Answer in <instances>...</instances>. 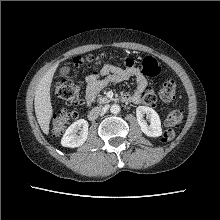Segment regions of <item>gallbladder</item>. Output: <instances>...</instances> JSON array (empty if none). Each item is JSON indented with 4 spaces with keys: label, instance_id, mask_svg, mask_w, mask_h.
<instances>
[{
    "label": "gallbladder",
    "instance_id": "gallbladder-1",
    "mask_svg": "<svg viewBox=\"0 0 220 220\" xmlns=\"http://www.w3.org/2000/svg\"><path fill=\"white\" fill-rule=\"evenodd\" d=\"M70 72V68L68 66H64L60 69V75L66 76Z\"/></svg>",
    "mask_w": 220,
    "mask_h": 220
}]
</instances>
